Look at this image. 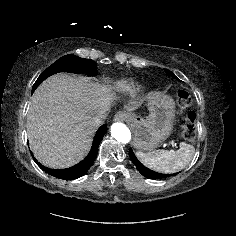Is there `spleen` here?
Wrapping results in <instances>:
<instances>
[{"label":"spleen","mask_w":236,"mask_h":236,"mask_svg":"<svg viewBox=\"0 0 236 236\" xmlns=\"http://www.w3.org/2000/svg\"><path fill=\"white\" fill-rule=\"evenodd\" d=\"M195 148L185 142L177 151L156 150L150 153L137 152L139 160L148 168L160 173H174L183 169L193 158Z\"/></svg>","instance_id":"1"}]
</instances>
